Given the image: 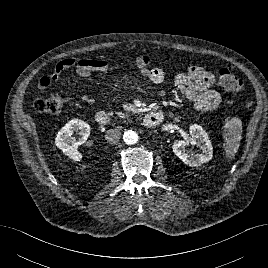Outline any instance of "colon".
<instances>
[{
  "instance_id": "colon-1",
  "label": "colon",
  "mask_w": 268,
  "mask_h": 268,
  "mask_svg": "<svg viewBox=\"0 0 268 268\" xmlns=\"http://www.w3.org/2000/svg\"><path fill=\"white\" fill-rule=\"evenodd\" d=\"M218 81L223 89L229 92H239L243 89V83L229 69H221L218 73ZM67 103V95L63 92L39 98L34 102V108L37 112L43 114H55L59 112ZM246 109L253 110L255 104L253 100L246 101Z\"/></svg>"
}]
</instances>
